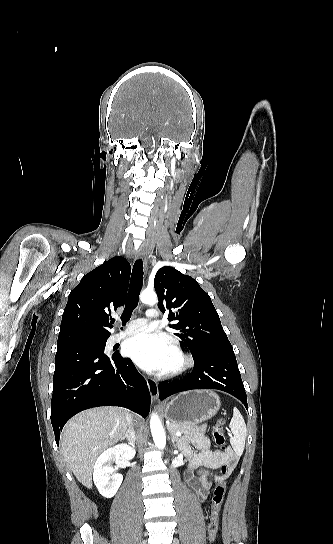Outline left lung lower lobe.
<instances>
[{"label":"left lung lower lobe","instance_id":"0a47b994","mask_svg":"<svg viewBox=\"0 0 333 544\" xmlns=\"http://www.w3.org/2000/svg\"><path fill=\"white\" fill-rule=\"evenodd\" d=\"M192 389H218L238 398L248 410L245 389L235 354L213 351L194 358V368L184 379L159 384L161 400L178 392Z\"/></svg>","mask_w":333,"mask_h":544}]
</instances>
